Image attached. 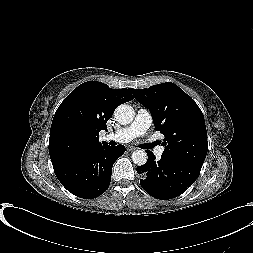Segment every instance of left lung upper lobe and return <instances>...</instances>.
Segmentation results:
<instances>
[{"mask_svg":"<svg viewBox=\"0 0 253 253\" xmlns=\"http://www.w3.org/2000/svg\"><path fill=\"white\" fill-rule=\"evenodd\" d=\"M131 92L149 109L155 129L165 136L162 155L201 168L207 154V131L195 101L171 82Z\"/></svg>","mask_w":253,"mask_h":253,"instance_id":"1","label":"left lung upper lobe"}]
</instances>
